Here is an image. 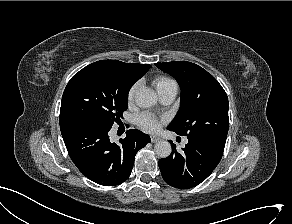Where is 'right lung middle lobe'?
Instances as JSON below:
<instances>
[{
    "instance_id": "dd1d6c3e",
    "label": "right lung middle lobe",
    "mask_w": 292,
    "mask_h": 224,
    "mask_svg": "<svg viewBox=\"0 0 292 224\" xmlns=\"http://www.w3.org/2000/svg\"><path fill=\"white\" fill-rule=\"evenodd\" d=\"M135 81L116 60L92 63L68 82L62 96L60 119L76 117L111 128L128 108V93Z\"/></svg>"
}]
</instances>
